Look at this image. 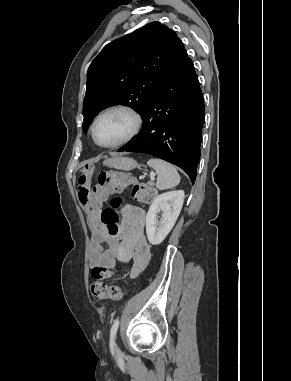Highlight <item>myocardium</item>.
<instances>
[{"label": "myocardium", "instance_id": "f54148a6", "mask_svg": "<svg viewBox=\"0 0 291 381\" xmlns=\"http://www.w3.org/2000/svg\"><path fill=\"white\" fill-rule=\"evenodd\" d=\"M112 112H125V113L129 114L133 118V121H134L133 128L130 131V133L126 137H124L123 139H121L115 143H112V144H102L98 141V139L96 137V125H97L98 121L103 116H105L109 113H112ZM142 125H143L142 116L135 108H133L132 106H129V105H125V104L116 105V106H113V107H110V108L104 110L95 118V120L93 121V124H92V128H91L92 138L95 141V143L100 147H103V148L119 147V146L127 144L128 142L133 140L139 134V132L142 128Z\"/></svg>", "mask_w": 291, "mask_h": 381}]
</instances>
